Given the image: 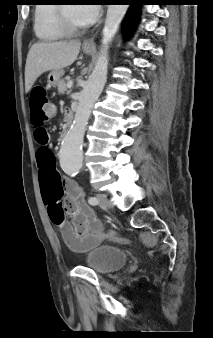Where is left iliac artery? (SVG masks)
<instances>
[{
	"instance_id": "44dca946",
	"label": "left iliac artery",
	"mask_w": 213,
	"mask_h": 338,
	"mask_svg": "<svg viewBox=\"0 0 213 338\" xmlns=\"http://www.w3.org/2000/svg\"><path fill=\"white\" fill-rule=\"evenodd\" d=\"M88 203L90 205H97L98 204V199L96 197H89L88 198Z\"/></svg>"
}]
</instances>
